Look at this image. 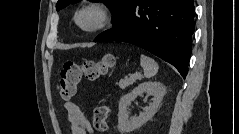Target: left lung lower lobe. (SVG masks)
Wrapping results in <instances>:
<instances>
[{
    "instance_id": "left-lung-lower-lobe-1",
    "label": "left lung lower lobe",
    "mask_w": 239,
    "mask_h": 134,
    "mask_svg": "<svg viewBox=\"0 0 239 134\" xmlns=\"http://www.w3.org/2000/svg\"><path fill=\"white\" fill-rule=\"evenodd\" d=\"M193 0H131L114 27L94 42L120 41L139 46L188 73L194 32Z\"/></svg>"
}]
</instances>
